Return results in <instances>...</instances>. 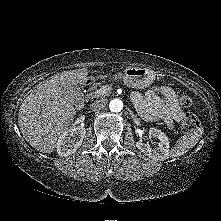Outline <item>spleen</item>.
Wrapping results in <instances>:
<instances>
[{
    "label": "spleen",
    "mask_w": 221,
    "mask_h": 221,
    "mask_svg": "<svg viewBox=\"0 0 221 221\" xmlns=\"http://www.w3.org/2000/svg\"><path fill=\"white\" fill-rule=\"evenodd\" d=\"M201 135L202 131H194L182 136L179 140H177L175 146L170 152V156L179 157L184 155L186 152H188L191 148H193L196 145Z\"/></svg>",
    "instance_id": "spleen-1"
}]
</instances>
